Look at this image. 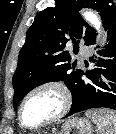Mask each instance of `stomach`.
I'll use <instances>...</instances> for the list:
<instances>
[{
	"mask_svg": "<svg viewBox=\"0 0 116 134\" xmlns=\"http://www.w3.org/2000/svg\"><path fill=\"white\" fill-rule=\"evenodd\" d=\"M51 134H92V125L86 118L73 117L65 121L60 130L52 129Z\"/></svg>",
	"mask_w": 116,
	"mask_h": 134,
	"instance_id": "stomach-1",
	"label": "stomach"
}]
</instances>
